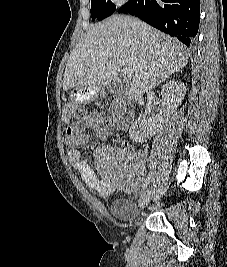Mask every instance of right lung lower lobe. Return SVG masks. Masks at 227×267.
I'll return each instance as SVG.
<instances>
[{
    "label": "right lung lower lobe",
    "mask_w": 227,
    "mask_h": 267,
    "mask_svg": "<svg viewBox=\"0 0 227 267\" xmlns=\"http://www.w3.org/2000/svg\"><path fill=\"white\" fill-rule=\"evenodd\" d=\"M117 12L135 15L190 46L199 28L200 0H129Z\"/></svg>",
    "instance_id": "right-lung-lower-lobe-1"
}]
</instances>
